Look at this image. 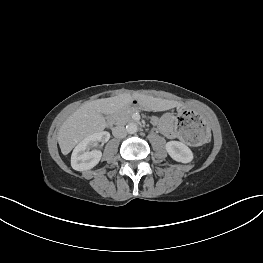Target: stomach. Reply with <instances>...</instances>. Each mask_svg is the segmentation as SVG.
<instances>
[{
  "mask_svg": "<svg viewBox=\"0 0 263 263\" xmlns=\"http://www.w3.org/2000/svg\"><path fill=\"white\" fill-rule=\"evenodd\" d=\"M132 108H149L133 98ZM174 127L184 141L190 144H203L209 138V129L205 120L198 112L182 108L178 110Z\"/></svg>",
  "mask_w": 263,
  "mask_h": 263,
  "instance_id": "obj_1",
  "label": "stomach"
}]
</instances>
